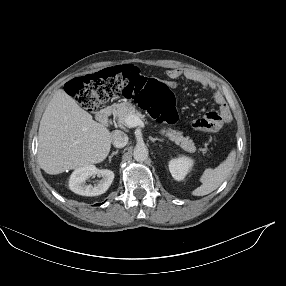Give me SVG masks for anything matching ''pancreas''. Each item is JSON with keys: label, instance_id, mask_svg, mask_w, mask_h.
<instances>
[{"label": "pancreas", "instance_id": "cf45deb5", "mask_svg": "<svg viewBox=\"0 0 286 286\" xmlns=\"http://www.w3.org/2000/svg\"><path fill=\"white\" fill-rule=\"evenodd\" d=\"M111 108L113 116L122 124L126 125V119L131 114H135L139 118L145 120L144 115H142L139 111H137L135 106L130 102L113 104ZM160 133L168 137L171 141H174L182 149L188 152H195L196 147L194 146L193 141L189 139V137H183L181 131H176L170 128L168 129L163 128L160 131Z\"/></svg>", "mask_w": 286, "mask_h": 286}]
</instances>
